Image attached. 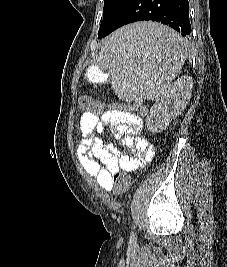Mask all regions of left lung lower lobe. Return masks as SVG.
Listing matches in <instances>:
<instances>
[{
	"label": "left lung lower lobe",
	"mask_w": 227,
	"mask_h": 267,
	"mask_svg": "<svg viewBox=\"0 0 227 267\" xmlns=\"http://www.w3.org/2000/svg\"><path fill=\"white\" fill-rule=\"evenodd\" d=\"M149 20L163 23L182 36L191 33L188 0H128L120 12L100 27L98 37L103 38L126 24ZM140 41L148 49L173 45L168 40H156L148 35L142 36Z\"/></svg>",
	"instance_id": "left-lung-lower-lobe-1"
}]
</instances>
